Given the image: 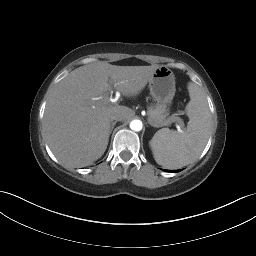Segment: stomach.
Returning <instances> with one entry per match:
<instances>
[{
  "mask_svg": "<svg viewBox=\"0 0 256 256\" xmlns=\"http://www.w3.org/2000/svg\"><path fill=\"white\" fill-rule=\"evenodd\" d=\"M175 75L166 66H160L149 80L150 94L164 107L172 103L176 92Z\"/></svg>",
  "mask_w": 256,
  "mask_h": 256,
  "instance_id": "obj_1",
  "label": "stomach"
}]
</instances>
